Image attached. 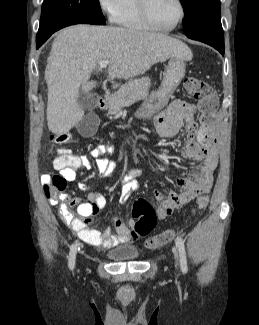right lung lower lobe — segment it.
Wrapping results in <instances>:
<instances>
[{"instance_id": "right-lung-lower-lobe-1", "label": "right lung lower lobe", "mask_w": 259, "mask_h": 325, "mask_svg": "<svg viewBox=\"0 0 259 325\" xmlns=\"http://www.w3.org/2000/svg\"><path fill=\"white\" fill-rule=\"evenodd\" d=\"M53 33H50L41 39H36V48L38 49Z\"/></svg>"}]
</instances>
